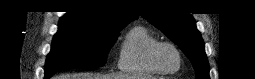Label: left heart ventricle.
Segmentation results:
<instances>
[{
    "mask_svg": "<svg viewBox=\"0 0 255 79\" xmlns=\"http://www.w3.org/2000/svg\"><path fill=\"white\" fill-rule=\"evenodd\" d=\"M159 59L166 68L175 69L178 66V56L174 50L169 47H164L160 50Z\"/></svg>",
    "mask_w": 255,
    "mask_h": 79,
    "instance_id": "obj_1",
    "label": "left heart ventricle"
}]
</instances>
